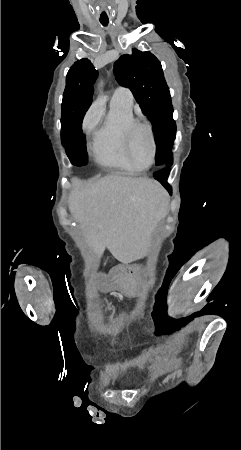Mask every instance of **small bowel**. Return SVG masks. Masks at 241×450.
Masks as SVG:
<instances>
[{"mask_svg":"<svg viewBox=\"0 0 241 450\" xmlns=\"http://www.w3.org/2000/svg\"><path fill=\"white\" fill-rule=\"evenodd\" d=\"M104 287L107 289L109 286L106 284Z\"/></svg>","mask_w":241,"mask_h":450,"instance_id":"small-bowel-1","label":"small bowel"}]
</instances>
